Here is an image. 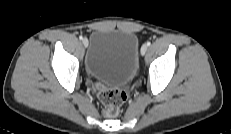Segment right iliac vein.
I'll return each mask as SVG.
<instances>
[{"label": "right iliac vein", "instance_id": "obj_1", "mask_svg": "<svg viewBox=\"0 0 231 134\" xmlns=\"http://www.w3.org/2000/svg\"><path fill=\"white\" fill-rule=\"evenodd\" d=\"M82 43H83V45L85 47H87L88 46V40H87V38H83Z\"/></svg>", "mask_w": 231, "mask_h": 134}]
</instances>
